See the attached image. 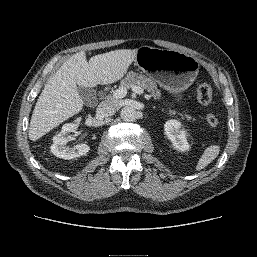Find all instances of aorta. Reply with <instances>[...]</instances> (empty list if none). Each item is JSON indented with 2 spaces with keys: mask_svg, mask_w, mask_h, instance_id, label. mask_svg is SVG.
<instances>
[{
  "mask_svg": "<svg viewBox=\"0 0 257 257\" xmlns=\"http://www.w3.org/2000/svg\"><path fill=\"white\" fill-rule=\"evenodd\" d=\"M121 118L126 122H133L137 119V111L131 106H125L121 109Z\"/></svg>",
  "mask_w": 257,
  "mask_h": 257,
  "instance_id": "762f6f07",
  "label": "aorta"
}]
</instances>
